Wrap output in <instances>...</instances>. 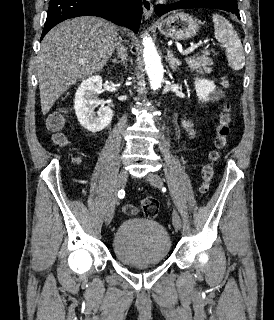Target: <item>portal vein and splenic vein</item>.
<instances>
[{
    "mask_svg": "<svg viewBox=\"0 0 274 320\" xmlns=\"http://www.w3.org/2000/svg\"><path fill=\"white\" fill-rule=\"evenodd\" d=\"M190 52H193V50H185V52H182V54L185 56V54H190Z\"/></svg>",
    "mask_w": 274,
    "mask_h": 320,
    "instance_id": "18ae733b",
    "label": "portal vein and splenic vein"
}]
</instances>
